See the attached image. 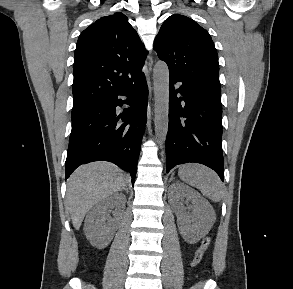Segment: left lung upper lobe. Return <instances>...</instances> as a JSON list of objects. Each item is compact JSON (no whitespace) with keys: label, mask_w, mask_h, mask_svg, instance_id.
Segmentation results:
<instances>
[{"label":"left lung upper lobe","mask_w":293,"mask_h":289,"mask_svg":"<svg viewBox=\"0 0 293 289\" xmlns=\"http://www.w3.org/2000/svg\"><path fill=\"white\" fill-rule=\"evenodd\" d=\"M154 49L170 74L221 89L217 50L209 33L194 20L180 14L168 17Z\"/></svg>","instance_id":"obj_1"}]
</instances>
